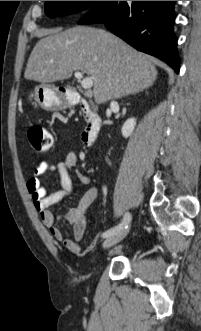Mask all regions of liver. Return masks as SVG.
<instances>
[{
  "instance_id": "1",
  "label": "liver",
  "mask_w": 201,
  "mask_h": 331,
  "mask_svg": "<svg viewBox=\"0 0 201 331\" xmlns=\"http://www.w3.org/2000/svg\"><path fill=\"white\" fill-rule=\"evenodd\" d=\"M47 34L30 54L27 80L46 84L83 71L93 80L98 104L143 91L156 80L157 70L147 55L102 29L77 26Z\"/></svg>"
}]
</instances>
